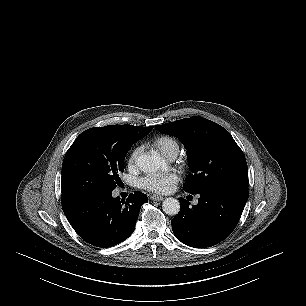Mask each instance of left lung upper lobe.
<instances>
[{
	"label": "left lung upper lobe",
	"instance_id": "5c2ea615",
	"mask_svg": "<svg viewBox=\"0 0 306 306\" xmlns=\"http://www.w3.org/2000/svg\"><path fill=\"white\" fill-rule=\"evenodd\" d=\"M162 133L178 137L187 150L191 173L184 191L197 194L215 188L248 191V168L240 147L219 124L192 117L156 125Z\"/></svg>",
	"mask_w": 306,
	"mask_h": 306
}]
</instances>
